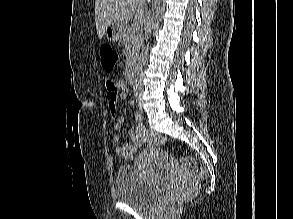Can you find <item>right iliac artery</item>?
<instances>
[{"instance_id": "obj_1", "label": "right iliac artery", "mask_w": 293, "mask_h": 219, "mask_svg": "<svg viewBox=\"0 0 293 219\" xmlns=\"http://www.w3.org/2000/svg\"><path fill=\"white\" fill-rule=\"evenodd\" d=\"M135 118H136V120L141 121L143 119V116H142L141 112H136L135 113Z\"/></svg>"}]
</instances>
